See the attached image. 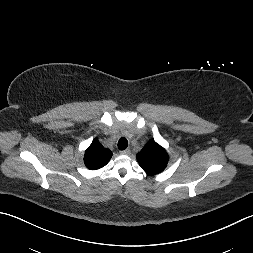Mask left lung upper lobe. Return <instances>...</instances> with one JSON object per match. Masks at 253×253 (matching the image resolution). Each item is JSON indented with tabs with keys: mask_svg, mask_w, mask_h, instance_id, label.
Returning a JSON list of instances; mask_svg holds the SVG:
<instances>
[{
	"mask_svg": "<svg viewBox=\"0 0 253 253\" xmlns=\"http://www.w3.org/2000/svg\"><path fill=\"white\" fill-rule=\"evenodd\" d=\"M136 158L141 168L149 174L162 172L168 162V155L165 149L154 140L148 141L144 148L137 154Z\"/></svg>",
	"mask_w": 253,
	"mask_h": 253,
	"instance_id": "left-lung-upper-lobe-1",
	"label": "left lung upper lobe"
}]
</instances>
